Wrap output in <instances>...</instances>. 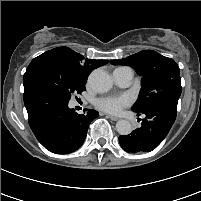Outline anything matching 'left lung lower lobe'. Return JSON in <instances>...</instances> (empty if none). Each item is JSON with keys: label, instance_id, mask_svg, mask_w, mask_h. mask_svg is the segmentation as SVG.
Returning <instances> with one entry per match:
<instances>
[{"label": "left lung lower lobe", "instance_id": "1", "mask_svg": "<svg viewBox=\"0 0 201 201\" xmlns=\"http://www.w3.org/2000/svg\"><path fill=\"white\" fill-rule=\"evenodd\" d=\"M140 114H144L142 126L131 134L120 136L121 147L131 153L154 150L166 137L177 114V106L170 104L155 105Z\"/></svg>", "mask_w": 201, "mask_h": 201}]
</instances>
